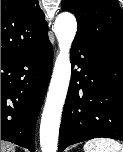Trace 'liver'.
Listing matches in <instances>:
<instances>
[{
	"mask_svg": "<svg viewBox=\"0 0 123 152\" xmlns=\"http://www.w3.org/2000/svg\"><path fill=\"white\" fill-rule=\"evenodd\" d=\"M1 152H15V145L6 141H1Z\"/></svg>",
	"mask_w": 123,
	"mask_h": 152,
	"instance_id": "obj_1",
	"label": "liver"
}]
</instances>
